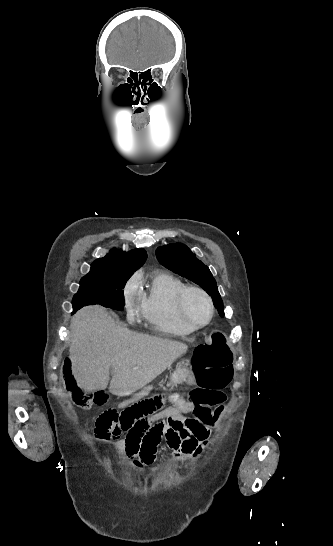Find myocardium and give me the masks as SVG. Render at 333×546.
<instances>
[{
    "label": "myocardium",
    "mask_w": 333,
    "mask_h": 546,
    "mask_svg": "<svg viewBox=\"0 0 333 546\" xmlns=\"http://www.w3.org/2000/svg\"><path fill=\"white\" fill-rule=\"evenodd\" d=\"M192 294H197L204 298V300L207 302L209 307V317L208 319L203 323H196L194 322L191 317L188 314L187 311V304L189 297ZM177 309L178 313L180 315V318L182 321L189 327H191L194 330L201 329L205 326H207L213 319L214 313H215V306L213 303V300L211 296L202 288L197 286H186L184 289L181 290L177 297Z\"/></svg>",
    "instance_id": "1"
}]
</instances>
